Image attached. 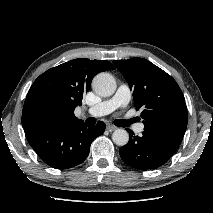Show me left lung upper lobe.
Wrapping results in <instances>:
<instances>
[{
    "instance_id": "left-lung-upper-lobe-1",
    "label": "left lung upper lobe",
    "mask_w": 213,
    "mask_h": 213,
    "mask_svg": "<svg viewBox=\"0 0 213 213\" xmlns=\"http://www.w3.org/2000/svg\"><path fill=\"white\" fill-rule=\"evenodd\" d=\"M141 109L144 131L180 144L187 128L184 95L176 81L144 58L114 60Z\"/></svg>"
}]
</instances>
